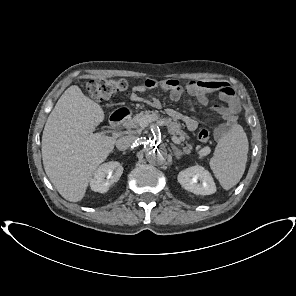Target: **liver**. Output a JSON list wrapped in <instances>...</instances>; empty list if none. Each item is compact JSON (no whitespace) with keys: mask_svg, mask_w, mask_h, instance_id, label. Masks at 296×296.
<instances>
[{"mask_svg":"<svg viewBox=\"0 0 296 296\" xmlns=\"http://www.w3.org/2000/svg\"><path fill=\"white\" fill-rule=\"evenodd\" d=\"M103 120L101 106L72 85L46 121L42 135L44 169L56 190L68 201L83 199L92 175L114 148L115 138L93 136Z\"/></svg>","mask_w":296,"mask_h":296,"instance_id":"1","label":"liver"}]
</instances>
